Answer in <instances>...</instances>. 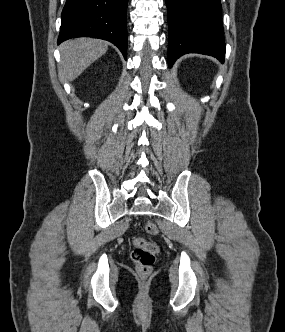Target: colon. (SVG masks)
Wrapping results in <instances>:
<instances>
[{
    "label": "colon",
    "instance_id": "5ec220e1",
    "mask_svg": "<svg viewBox=\"0 0 285 332\" xmlns=\"http://www.w3.org/2000/svg\"><path fill=\"white\" fill-rule=\"evenodd\" d=\"M146 230L150 234H155L157 227L153 222L147 221ZM158 251L156 242L142 237L135 239L131 259L139 275L146 277L151 273Z\"/></svg>",
    "mask_w": 285,
    "mask_h": 332
}]
</instances>
